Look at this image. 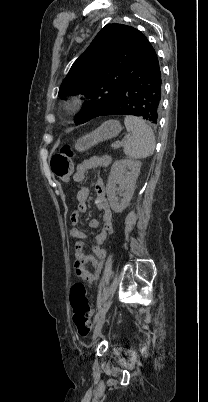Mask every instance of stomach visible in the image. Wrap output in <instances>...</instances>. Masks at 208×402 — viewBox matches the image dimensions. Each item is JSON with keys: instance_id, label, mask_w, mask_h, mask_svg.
<instances>
[{"instance_id": "stomach-1", "label": "stomach", "mask_w": 208, "mask_h": 402, "mask_svg": "<svg viewBox=\"0 0 208 402\" xmlns=\"http://www.w3.org/2000/svg\"><path fill=\"white\" fill-rule=\"evenodd\" d=\"M121 130L122 128L117 120H108V122H104L100 128H97L91 134H86V136H82V138L76 140L74 148L77 152H85V150H89L92 146H96L98 142L116 138Z\"/></svg>"}]
</instances>
